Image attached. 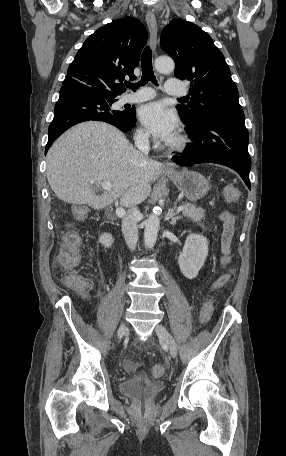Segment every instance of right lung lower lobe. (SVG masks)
<instances>
[{
    "mask_svg": "<svg viewBox=\"0 0 286 456\" xmlns=\"http://www.w3.org/2000/svg\"><path fill=\"white\" fill-rule=\"evenodd\" d=\"M117 101L78 83H66L60 89L55 105L54 118L48 130L45 153L52 143L71 126L89 120L110 123L121 131L130 130L136 123L135 109L119 114L109 113L112 103Z\"/></svg>",
    "mask_w": 286,
    "mask_h": 456,
    "instance_id": "obj_1",
    "label": "right lung lower lobe"
}]
</instances>
